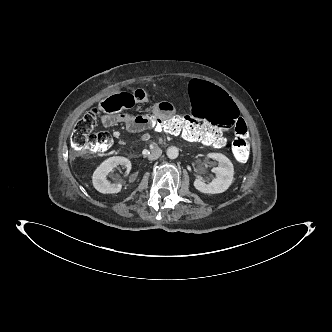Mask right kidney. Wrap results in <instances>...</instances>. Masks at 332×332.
<instances>
[{
	"mask_svg": "<svg viewBox=\"0 0 332 332\" xmlns=\"http://www.w3.org/2000/svg\"><path fill=\"white\" fill-rule=\"evenodd\" d=\"M117 165H123L127 168V174L131 170V162L129 159L121 156H113L102 162L94 171L92 182L94 188L103 194H113L121 191V184L111 183L107 180L108 174Z\"/></svg>",
	"mask_w": 332,
	"mask_h": 332,
	"instance_id": "ca27d5eb",
	"label": "right kidney"
}]
</instances>
